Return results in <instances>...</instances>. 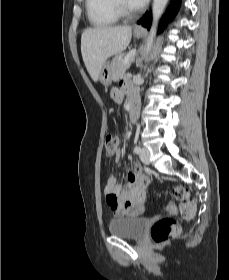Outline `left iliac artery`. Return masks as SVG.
Segmentation results:
<instances>
[{
	"mask_svg": "<svg viewBox=\"0 0 229 280\" xmlns=\"http://www.w3.org/2000/svg\"><path fill=\"white\" fill-rule=\"evenodd\" d=\"M134 152H135L136 154H139V153L141 152L140 147H139V146H135V147H134Z\"/></svg>",
	"mask_w": 229,
	"mask_h": 280,
	"instance_id": "obj_1",
	"label": "left iliac artery"
}]
</instances>
